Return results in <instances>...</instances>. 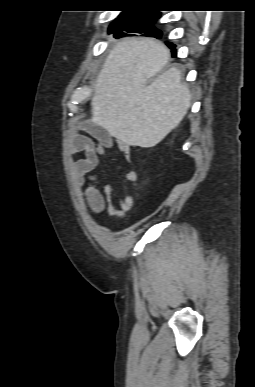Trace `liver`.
<instances>
[{"label": "liver", "instance_id": "obj_1", "mask_svg": "<svg viewBox=\"0 0 255 387\" xmlns=\"http://www.w3.org/2000/svg\"><path fill=\"white\" fill-rule=\"evenodd\" d=\"M169 59L170 50L155 39L118 42L95 83L92 120L123 144L156 146L182 121L191 105L179 69L173 67L155 77Z\"/></svg>", "mask_w": 255, "mask_h": 387}]
</instances>
